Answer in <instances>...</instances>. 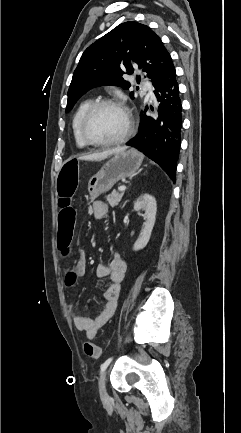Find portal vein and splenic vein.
I'll list each match as a JSON object with an SVG mask.
<instances>
[{"label":"portal vein and splenic vein","mask_w":241,"mask_h":433,"mask_svg":"<svg viewBox=\"0 0 241 433\" xmlns=\"http://www.w3.org/2000/svg\"><path fill=\"white\" fill-rule=\"evenodd\" d=\"M125 189H126V186H120L119 188H118V190L120 191V192H122V191H125Z\"/></svg>","instance_id":"18ae733b"}]
</instances>
